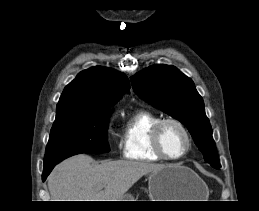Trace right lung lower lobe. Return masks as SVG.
I'll return each instance as SVG.
<instances>
[{
    "mask_svg": "<svg viewBox=\"0 0 259 211\" xmlns=\"http://www.w3.org/2000/svg\"><path fill=\"white\" fill-rule=\"evenodd\" d=\"M56 164L50 165V166H46L43 169V174H42V180L45 181L47 176L50 174V172L52 171V169L54 168Z\"/></svg>",
    "mask_w": 259,
    "mask_h": 211,
    "instance_id": "98d812e1",
    "label": "right lung lower lobe"
}]
</instances>
